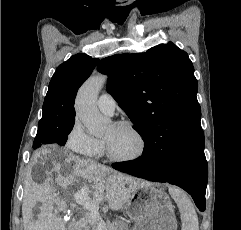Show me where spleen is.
<instances>
[{"instance_id": "3e777b00", "label": "spleen", "mask_w": 241, "mask_h": 230, "mask_svg": "<svg viewBox=\"0 0 241 230\" xmlns=\"http://www.w3.org/2000/svg\"><path fill=\"white\" fill-rule=\"evenodd\" d=\"M169 193L179 208L182 230H199L198 217L191 199L176 187H169Z\"/></svg>"}]
</instances>
